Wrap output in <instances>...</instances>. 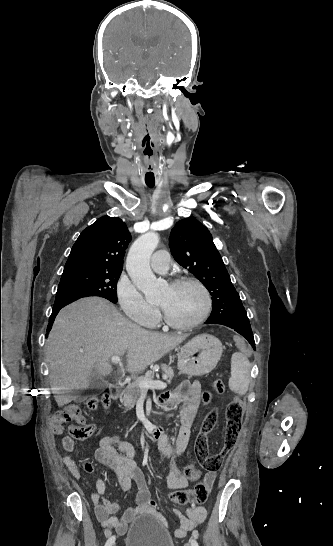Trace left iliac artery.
Here are the masks:
<instances>
[{"mask_svg":"<svg viewBox=\"0 0 333 546\" xmlns=\"http://www.w3.org/2000/svg\"><path fill=\"white\" fill-rule=\"evenodd\" d=\"M191 546H198V543L195 539L190 540Z\"/></svg>","mask_w":333,"mask_h":546,"instance_id":"left-iliac-artery-1","label":"left iliac artery"}]
</instances>
